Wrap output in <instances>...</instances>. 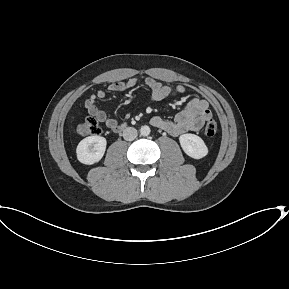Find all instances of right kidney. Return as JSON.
Instances as JSON below:
<instances>
[{
	"mask_svg": "<svg viewBox=\"0 0 289 289\" xmlns=\"http://www.w3.org/2000/svg\"><path fill=\"white\" fill-rule=\"evenodd\" d=\"M107 141L101 136L84 138L77 146V159L87 165H92L101 160L106 150Z\"/></svg>",
	"mask_w": 289,
	"mask_h": 289,
	"instance_id": "obj_1",
	"label": "right kidney"
}]
</instances>
